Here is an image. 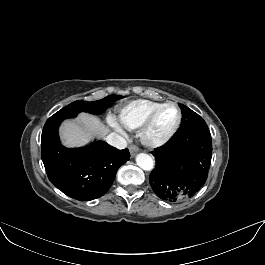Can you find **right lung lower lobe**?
Masks as SVG:
<instances>
[{
    "mask_svg": "<svg viewBox=\"0 0 265 265\" xmlns=\"http://www.w3.org/2000/svg\"><path fill=\"white\" fill-rule=\"evenodd\" d=\"M76 115H53L41 137V157L49 180L67 196L93 200L112 185L118 168L129 160L128 149L118 150L106 142L94 141L83 148L68 149L58 136L60 123Z\"/></svg>",
    "mask_w": 265,
    "mask_h": 265,
    "instance_id": "right-lung-lower-lobe-1",
    "label": "right lung lower lobe"
}]
</instances>
